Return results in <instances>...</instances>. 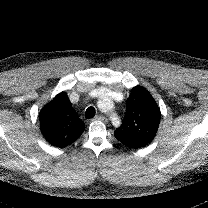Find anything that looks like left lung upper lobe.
Listing matches in <instances>:
<instances>
[{"mask_svg":"<svg viewBox=\"0 0 208 208\" xmlns=\"http://www.w3.org/2000/svg\"><path fill=\"white\" fill-rule=\"evenodd\" d=\"M160 118V109L154 98L145 88L136 86L126 101L123 124L116 129L114 136L125 146L141 148L154 139Z\"/></svg>","mask_w":208,"mask_h":208,"instance_id":"5c2ea615","label":"left lung upper lobe"}]
</instances>
